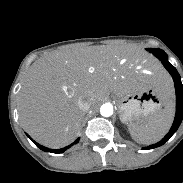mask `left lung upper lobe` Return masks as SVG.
<instances>
[{"instance_id": "obj_1", "label": "left lung upper lobe", "mask_w": 183, "mask_h": 183, "mask_svg": "<svg viewBox=\"0 0 183 183\" xmlns=\"http://www.w3.org/2000/svg\"><path fill=\"white\" fill-rule=\"evenodd\" d=\"M150 49H153V48H148L147 50L150 51Z\"/></svg>"}]
</instances>
